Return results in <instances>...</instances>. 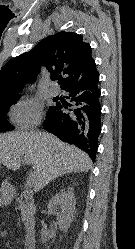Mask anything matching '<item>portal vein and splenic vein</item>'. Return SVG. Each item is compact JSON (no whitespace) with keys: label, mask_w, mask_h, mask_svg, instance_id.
Returning a JSON list of instances; mask_svg holds the SVG:
<instances>
[{"label":"portal vein and splenic vein","mask_w":135,"mask_h":249,"mask_svg":"<svg viewBox=\"0 0 135 249\" xmlns=\"http://www.w3.org/2000/svg\"><path fill=\"white\" fill-rule=\"evenodd\" d=\"M26 164H29V160L26 158V157H24V160H23ZM34 185V173H31L29 176H28V178H27V180H26V186L27 187H32Z\"/></svg>","instance_id":"obj_1"}]
</instances>
